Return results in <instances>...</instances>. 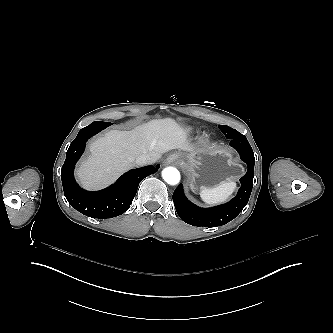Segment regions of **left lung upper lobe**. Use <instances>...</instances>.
<instances>
[{
    "label": "left lung upper lobe",
    "mask_w": 333,
    "mask_h": 333,
    "mask_svg": "<svg viewBox=\"0 0 333 333\" xmlns=\"http://www.w3.org/2000/svg\"><path fill=\"white\" fill-rule=\"evenodd\" d=\"M221 128H224V129H229V128H231V127H229V126H226V125H219ZM220 129V128H219Z\"/></svg>",
    "instance_id": "1"
}]
</instances>
